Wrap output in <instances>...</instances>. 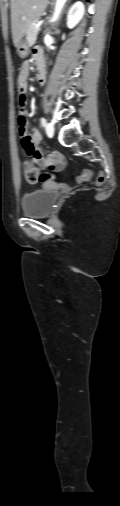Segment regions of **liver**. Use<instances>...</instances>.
I'll use <instances>...</instances> for the list:
<instances>
[{
	"label": "liver",
	"instance_id": "obj_1",
	"mask_svg": "<svg viewBox=\"0 0 120 506\" xmlns=\"http://www.w3.org/2000/svg\"><path fill=\"white\" fill-rule=\"evenodd\" d=\"M49 0H11V30L15 46L23 38L31 23L38 20Z\"/></svg>",
	"mask_w": 120,
	"mask_h": 506
}]
</instances>
